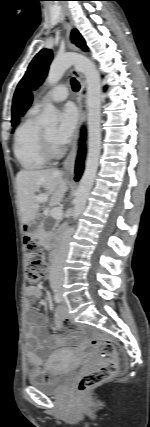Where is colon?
<instances>
[{"mask_svg": "<svg viewBox=\"0 0 150 427\" xmlns=\"http://www.w3.org/2000/svg\"><path fill=\"white\" fill-rule=\"evenodd\" d=\"M24 247L27 255L26 280L30 289L42 282L47 274L45 259L38 241L29 235L24 237ZM87 335L91 345L104 358L105 363L98 369L85 374L77 384L80 394L87 393L94 387L114 377L118 372V357L114 344L101 336Z\"/></svg>", "mask_w": 150, "mask_h": 427, "instance_id": "1", "label": "colon"}]
</instances>
